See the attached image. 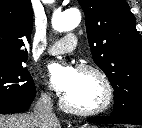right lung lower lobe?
Here are the masks:
<instances>
[{"label":"right lung lower lobe","mask_w":142,"mask_h":128,"mask_svg":"<svg viewBox=\"0 0 142 128\" xmlns=\"http://www.w3.org/2000/svg\"><path fill=\"white\" fill-rule=\"evenodd\" d=\"M31 102H15V101H1L0 102V114L1 113H20L27 111L31 105Z\"/></svg>","instance_id":"right-lung-lower-lobe-1"}]
</instances>
